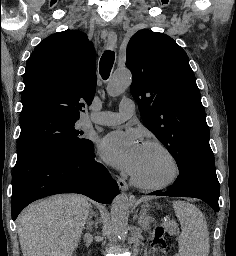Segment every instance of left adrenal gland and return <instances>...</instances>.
I'll return each mask as SVG.
<instances>
[{
	"instance_id": "obj_1",
	"label": "left adrenal gland",
	"mask_w": 236,
	"mask_h": 256,
	"mask_svg": "<svg viewBox=\"0 0 236 256\" xmlns=\"http://www.w3.org/2000/svg\"><path fill=\"white\" fill-rule=\"evenodd\" d=\"M152 222H154V218H152L150 214H147V210H145V208H142L138 218L140 228H142V230H149V224H152Z\"/></svg>"
}]
</instances>
